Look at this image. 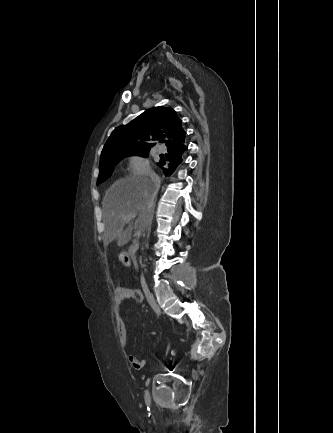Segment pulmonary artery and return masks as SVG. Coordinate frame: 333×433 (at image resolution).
I'll use <instances>...</instances> for the list:
<instances>
[{"mask_svg":"<svg viewBox=\"0 0 333 433\" xmlns=\"http://www.w3.org/2000/svg\"><path fill=\"white\" fill-rule=\"evenodd\" d=\"M158 152H159V153H164V148H163V146H160V147L158 148Z\"/></svg>","mask_w":333,"mask_h":433,"instance_id":"pulmonary-artery-1","label":"pulmonary artery"}]
</instances>
